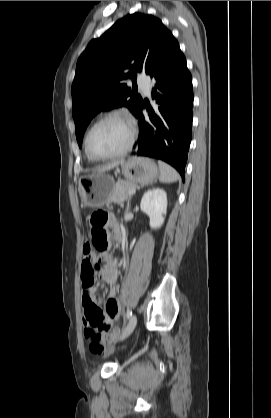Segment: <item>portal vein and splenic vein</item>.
<instances>
[{"label": "portal vein and splenic vein", "mask_w": 271, "mask_h": 418, "mask_svg": "<svg viewBox=\"0 0 271 418\" xmlns=\"http://www.w3.org/2000/svg\"><path fill=\"white\" fill-rule=\"evenodd\" d=\"M136 192V189H132L129 194H134Z\"/></svg>", "instance_id": "obj_1"}]
</instances>
